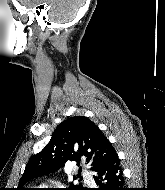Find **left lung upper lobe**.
I'll use <instances>...</instances> for the list:
<instances>
[{"instance_id": "left-lung-upper-lobe-1", "label": "left lung upper lobe", "mask_w": 165, "mask_h": 190, "mask_svg": "<svg viewBox=\"0 0 165 190\" xmlns=\"http://www.w3.org/2000/svg\"><path fill=\"white\" fill-rule=\"evenodd\" d=\"M114 153L109 140L91 120L84 116L68 118L56 128L47 146L28 161L17 190H27L21 187L32 178L55 172L68 161L78 166L86 162L95 171ZM67 190L83 189L71 184Z\"/></svg>"}]
</instances>
